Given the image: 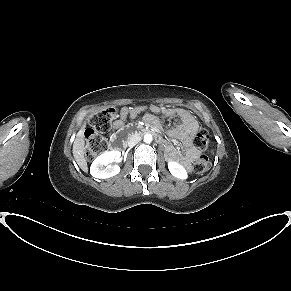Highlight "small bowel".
Returning a JSON list of instances; mask_svg holds the SVG:
<instances>
[{
  "label": "small bowel",
  "mask_w": 291,
  "mask_h": 291,
  "mask_svg": "<svg viewBox=\"0 0 291 291\" xmlns=\"http://www.w3.org/2000/svg\"><path fill=\"white\" fill-rule=\"evenodd\" d=\"M144 111V107L138 106L134 108H122L121 118L116 120L112 125V135L111 139L113 140V135L116 134L117 131L121 130L125 124L126 118L129 116L131 118L137 117ZM151 111L154 113H160L164 117L167 118H175L180 121L179 126L172 128L169 131L171 137L175 139H179L183 142L184 152H180L173 145L168 144L166 146V154L169 159L174 161H179L183 163L185 167H189V165L196 160L199 153L192 146L191 138L197 132L199 125L196 119L191 115L190 112L185 109H174V108H159L156 106L151 107ZM145 122L155 126L160 127L161 122L160 119L153 115L147 114L144 117Z\"/></svg>",
  "instance_id": "1"
}]
</instances>
